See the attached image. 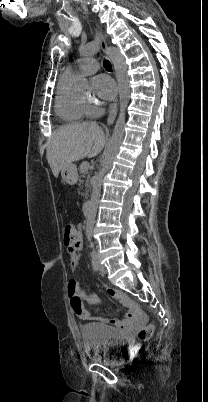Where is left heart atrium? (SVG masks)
<instances>
[{
	"label": "left heart atrium",
	"mask_w": 208,
	"mask_h": 402,
	"mask_svg": "<svg viewBox=\"0 0 208 402\" xmlns=\"http://www.w3.org/2000/svg\"><path fill=\"white\" fill-rule=\"evenodd\" d=\"M94 83L99 90V98L110 101L116 96V84L112 78L106 74H99L95 77Z\"/></svg>",
	"instance_id": "left-heart-atrium-1"
}]
</instances>
